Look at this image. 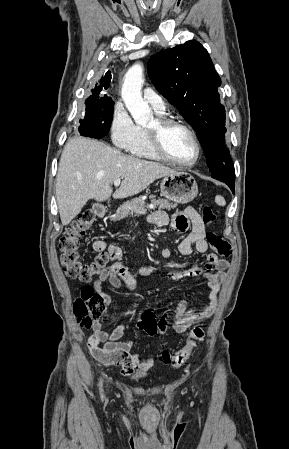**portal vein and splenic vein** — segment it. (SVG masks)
Masks as SVG:
<instances>
[{
    "label": "portal vein and splenic vein",
    "instance_id": "1",
    "mask_svg": "<svg viewBox=\"0 0 289 449\" xmlns=\"http://www.w3.org/2000/svg\"><path fill=\"white\" fill-rule=\"evenodd\" d=\"M120 183H121V179H116L114 181V186L118 187L120 185ZM137 213L138 214H146V211L145 210H138Z\"/></svg>",
    "mask_w": 289,
    "mask_h": 449
}]
</instances>
